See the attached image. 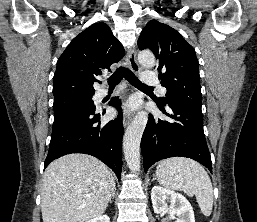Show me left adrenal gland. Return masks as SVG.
Here are the masks:
<instances>
[{
	"label": "left adrenal gland",
	"instance_id": "a2214340",
	"mask_svg": "<svg viewBox=\"0 0 257 222\" xmlns=\"http://www.w3.org/2000/svg\"><path fill=\"white\" fill-rule=\"evenodd\" d=\"M154 180H156V177H155V176H153V179H152V181H154Z\"/></svg>",
	"mask_w": 257,
	"mask_h": 222
}]
</instances>
